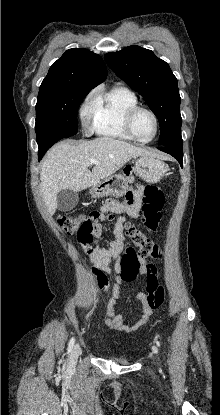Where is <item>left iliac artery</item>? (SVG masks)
I'll return each instance as SVG.
<instances>
[{
    "instance_id": "left-iliac-artery-1",
    "label": "left iliac artery",
    "mask_w": 220,
    "mask_h": 415,
    "mask_svg": "<svg viewBox=\"0 0 220 415\" xmlns=\"http://www.w3.org/2000/svg\"><path fill=\"white\" fill-rule=\"evenodd\" d=\"M156 343H157V345H158V346H160V343H159V341H157Z\"/></svg>"
}]
</instances>
